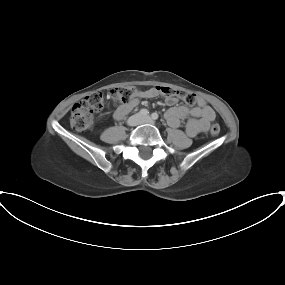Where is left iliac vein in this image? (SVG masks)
<instances>
[{"instance_id":"4c4485c4","label":"left iliac vein","mask_w":285,"mask_h":285,"mask_svg":"<svg viewBox=\"0 0 285 285\" xmlns=\"http://www.w3.org/2000/svg\"><path fill=\"white\" fill-rule=\"evenodd\" d=\"M144 123H149V124H153V120L151 119V117L149 116H146V117H142L141 118V124H144Z\"/></svg>"}]
</instances>
